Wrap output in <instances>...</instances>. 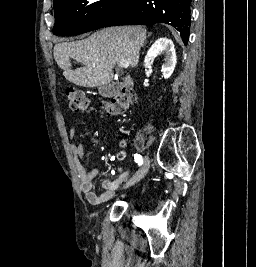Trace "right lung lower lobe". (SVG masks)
<instances>
[{
  "label": "right lung lower lobe",
  "instance_id": "98d812e1",
  "mask_svg": "<svg viewBox=\"0 0 256 267\" xmlns=\"http://www.w3.org/2000/svg\"><path fill=\"white\" fill-rule=\"evenodd\" d=\"M192 0H133L124 12L103 27L115 25H153L166 23L175 27L187 45L190 32Z\"/></svg>",
  "mask_w": 256,
  "mask_h": 267
}]
</instances>
